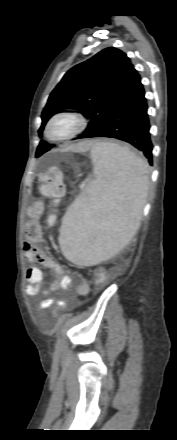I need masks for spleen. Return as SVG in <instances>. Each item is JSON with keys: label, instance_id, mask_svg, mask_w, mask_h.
Masks as SVG:
<instances>
[{"label": "spleen", "instance_id": "1", "mask_svg": "<svg viewBox=\"0 0 177 440\" xmlns=\"http://www.w3.org/2000/svg\"><path fill=\"white\" fill-rule=\"evenodd\" d=\"M95 180L68 207L59 244L78 265H95L119 253L133 238L147 194L148 165L127 146L92 148Z\"/></svg>", "mask_w": 177, "mask_h": 440}]
</instances>
